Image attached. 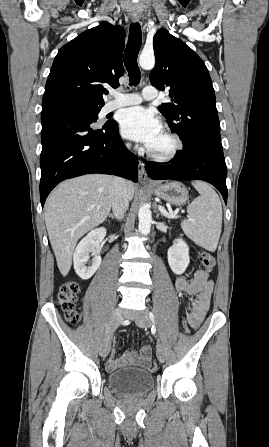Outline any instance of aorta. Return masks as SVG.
Wrapping results in <instances>:
<instances>
[{
  "label": "aorta",
  "mask_w": 269,
  "mask_h": 447,
  "mask_svg": "<svg viewBox=\"0 0 269 447\" xmlns=\"http://www.w3.org/2000/svg\"><path fill=\"white\" fill-rule=\"evenodd\" d=\"M139 66L143 68V70H152L155 66V56L154 54H141L139 58ZM139 218V231L143 233V235H147L150 233L151 224H152V216L149 208L147 206H140L138 212Z\"/></svg>",
  "instance_id": "762f6f07"
}]
</instances>
